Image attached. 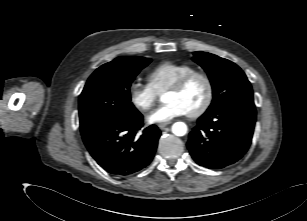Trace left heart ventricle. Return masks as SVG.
<instances>
[{"label": "left heart ventricle", "instance_id": "b2bd125f", "mask_svg": "<svg viewBox=\"0 0 307 221\" xmlns=\"http://www.w3.org/2000/svg\"><path fill=\"white\" fill-rule=\"evenodd\" d=\"M207 93L206 84L201 78L193 79L180 92H167L165 102L179 103L187 113L198 109L205 100Z\"/></svg>", "mask_w": 307, "mask_h": 221}]
</instances>
